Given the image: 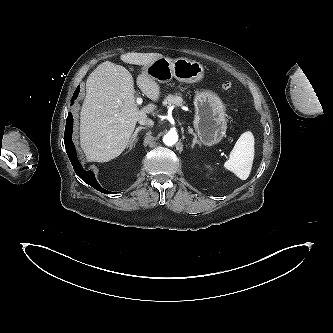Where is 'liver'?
Listing matches in <instances>:
<instances>
[{"label": "liver", "mask_w": 333, "mask_h": 333, "mask_svg": "<svg viewBox=\"0 0 333 333\" xmlns=\"http://www.w3.org/2000/svg\"><path fill=\"white\" fill-rule=\"evenodd\" d=\"M162 56L132 52L122 54L120 59L147 66ZM136 82L149 99H159V85L145 72ZM134 93L133 77L123 66L105 61L89 75L80 113V145L89 161L108 162L118 157L128 146L137 121L156 109L148 104L139 110Z\"/></svg>", "instance_id": "liver-1"}]
</instances>
